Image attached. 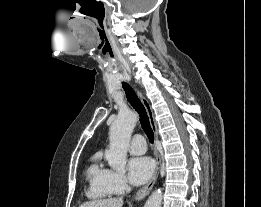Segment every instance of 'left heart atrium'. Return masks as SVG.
<instances>
[{
  "instance_id": "left-heart-atrium-1",
  "label": "left heart atrium",
  "mask_w": 261,
  "mask_h": 207,
  "mask_svg": "<svg viewBox=\"0 0 261 207\" xmlns=\"http://www.w3.org/2000/svg\"><path fill=\"white\" fill-rule=\"evenodd\" d=\"M128 178L133 185L147 182L155 169L154 161L149 157H133L128 161Z\"/></svg>"
}]
</instances>
